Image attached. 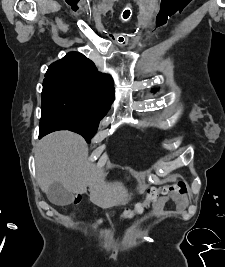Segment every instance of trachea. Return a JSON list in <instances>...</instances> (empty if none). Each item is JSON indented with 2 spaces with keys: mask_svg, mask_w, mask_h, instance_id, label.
Segmentation results:
<instances>
[{
  "mask_svg": "<svg viewBox=\"0 0 225 267\" xmlns=\"http://www.w3.org/2000/svg\"><path fill=\"white\" fill-rule=\"evenodd\" d=\"M129 16H130V14L127 15V11L125 10V11L123 12V18H124V19H127Z\"/></svg>",
  "mask_w": 225,
  "mask_h": 267,
  "instance_id": "trachea-1",
  "label": "trachea"
}]
</instances>
